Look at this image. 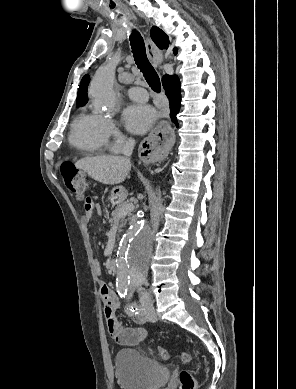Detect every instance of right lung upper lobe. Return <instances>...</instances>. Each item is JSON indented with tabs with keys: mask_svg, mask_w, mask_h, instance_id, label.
Instances as JSON below:
<instances>
[{
	"mask_svg": "<svg viewBox=\"0 0 296 389\" xmlns=\"http://www.w3.org/2000/svg\"><path fill=\"white\" fill-rule=\"evenodd\" d=\"M151 38L154 43L161 49L168 48L169 46V38L168 36L158 27L153 26L151 29ZM174 54L177 53V49L175 48ZM169 75H164L162 81H164ZM89 84V76L85 75L80 83L78 95H77V106L85 105L87 102V87Z\"/></svg>",
	"mask_w": 296,
	"mask_h": 389,
	"instance_id": "cb5924a9",
	"label": "right lung upper lobe"
}]
</instances>
